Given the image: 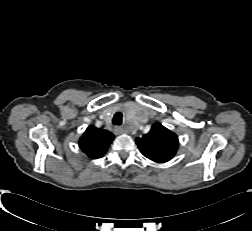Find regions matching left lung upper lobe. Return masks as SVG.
I'll return each mask as SVG.
<instances>
[{
	"mask_svg": "<svg viewBox=\"0 0 252 231\" xmlns=\"http://www.w3.org/2000/svg\"><path fill=\"white\" fill-rule=\"evenodd\" d=\"M141 153L148 159L164 163L169 161L178 148V137L159 123L153 124L149 133L136 138Z\"/></svg>",
	"mask_w": 252,
	"mask_h": 231,
	"instance_id": "left-lung-upper-lobe-1",
	"label": "left lung upper lobe"
}]
</instances>
